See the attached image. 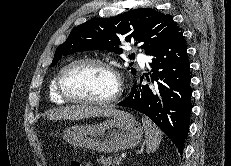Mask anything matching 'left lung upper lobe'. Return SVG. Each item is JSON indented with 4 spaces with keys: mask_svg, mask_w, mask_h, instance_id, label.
Returning <instances> with one entry per match:
<instances>
[{
    "mask_svg": "<svg viewBox=\"0 0 231 166\" xmlns=\"http://www.w3.org/2000/svg\"><path fill=\"white\" fill-rule=\"evenodd\" d=\"M176 27L172 16L151 8L131 10L112 18L91 19L70 32L67 40L57 47L50 66L61 57L79 51L106 50L120 54L122 43L139 44L151 55Z\"/></svg>",
    "mask_w": 231,
    "mask_h": 166,
    "instance_id": "1",
    "label": "left lung upper lobe"
}]
</instances>
